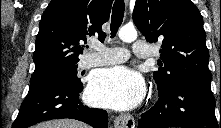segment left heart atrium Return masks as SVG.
Returning <instances> with one entry per match:
<instances>
[{"label":"left heart atrium","instance_id":"1","mask_svg":"<svg viewBox=\"0 0 221 128\" xmlns=\"http://www.w3.org/2000/svg\"><path fill=\"white\" fill-rule=\"evenodd\" d=\"M144 92L141 77L119 66L97 71L87 88V97L102 107L129 110L142 101Z\"/></svg>","mask_w":221,"mask_h":128}]
</instances>
